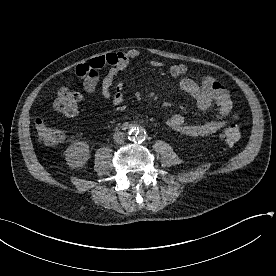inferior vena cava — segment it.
Listing matches in <instances>:
<instances>
[{
    "label": "inferior vena cava",
    "instance_id": "obj_1",
    "mask_svg": "<svg viewBox=\"0 0 276 276\" xmlns=\"http://www.w3.org/2000/svg\"><path fill=\"white\" fill-rule=\"evenodd\" d=\"M113 140L117 144H123L125 140V135L123 132L117 131L113 135Z\"/></svg>",
    "mask_w": 276,
    "mask_h": 276
}]
</instances>
